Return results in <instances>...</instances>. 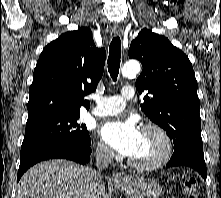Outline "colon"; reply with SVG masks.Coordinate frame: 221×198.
Returning a JSON list of instances; mask_svg holds the SVG:
<instances>
[{"mask_svg":"<svg viewBox=\"0 0 221 198\" xmlns=\"http://www.w3.org/2000/svg\"><path fill=\"white\" fill-rule=\"evenodd\" d=\"M183 193L187 198H196L197 197V181L194 177H189L184 179L182 184Z\"/></svg>","mask_w":221,"mask_h":198,"instance_id":"5ec220e1","label":"colon"}]
</instances>
